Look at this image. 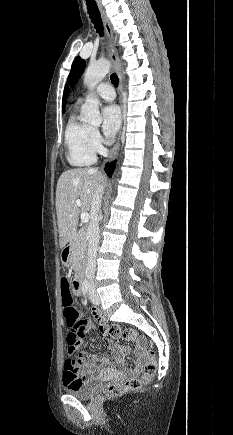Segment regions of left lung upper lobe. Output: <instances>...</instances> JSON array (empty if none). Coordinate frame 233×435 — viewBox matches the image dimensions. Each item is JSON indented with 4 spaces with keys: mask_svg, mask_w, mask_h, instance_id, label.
<instances>
[{
    "mask_svg": "<svg viewBox=\"0 0 233 435\" xmlns=\"http://www.w3.org/2000/svg\"><path fill=\"white\" fill-rule=\"evenodd\" d=\"M85 68V61L80 57H77L71 67L70 74L68 76V82L70 86H73L77 80L80 78L82 72ZM66 94L64 95L63 104H65Z\"/></svg>",
    "mask_w": 233,
    "mask_h": 435,
    "instance_id": "left-lung-upper-lobe-1",
    "label": "left lung upper lobe"
}]
</instances>
